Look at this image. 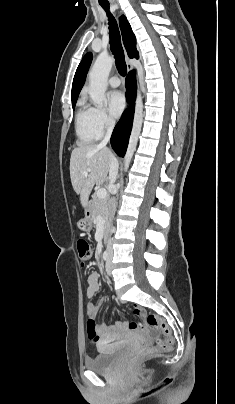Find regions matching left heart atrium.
Here are the masks:
<instances>
[{
    "mask_svg": "<svg viewBox=\"0 0 235 404\" xmlns=\"http://www.w3.org/2000/svg\"><path fill=\"white\" fill-rule=\"evenodd\" d=\"M107 104L110 114L118 117L125 108V97L120 91H112L107 96Z\"/></svg>",
    "mask_w": 235,
    "mask_h": 404,
    "instance_id": "39dd6f15",
    "label": "left heart atrium"
}]
</instances>
